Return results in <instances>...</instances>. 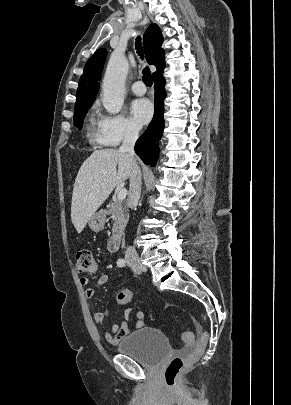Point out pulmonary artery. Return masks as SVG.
<instances>
[{
  "label": "pulmonary artery",
  "mask_w": 291,
  "mask_h": 405,
  "mask_svg": "<svg viewBox=\"0 0 291 405\" xmlns=\"http://www.w3.org/2000/svg\"><path fill=\"white\" fill-rule=\"evenodd\" d=\"M131 89L136 95H143L146 92V87L142 81L133 83Z\"/></svg>",
  "instance_id": "1"
}]
</instances>
